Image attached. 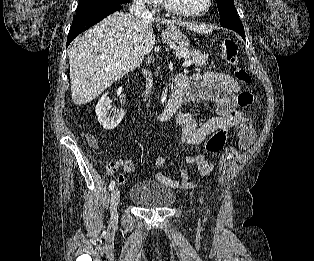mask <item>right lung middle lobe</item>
Instances as JSON below:
<instances>
[{
  "mask_svg": "<svg viewBox=\"0 0 314 261\" xmlns=\"http://www.w3.org/2000/svg\"><path fill=\"white\" fill-rule=\"evenodd\" d=\"M128 2H130V0H79L76 15L84 14L101 6L113 3L123 4Z\"/></svg>",
  "mask_w": 314,
  "mask_h": 261,
  "instance_id": "right-lung-middle-lobe-1",
  "label": "right lung middle lobe"
}]
</instances>
